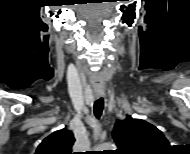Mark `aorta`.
I'll use <instances>...</instances> for the list:
<instances>
[{
    "instance_id": "762f6f07",
    "label": "aorta",
    "mask_w": 190,
    "mask_h": 154,
    "mask_svg": "<svg viewBox=\"0 0 190 154\" xmlns=\"http://www.w3.org/2000/svg\"><path fill=\"white\" fill-rule=\"evenodd\" d=\"M113 144L112 143H103L99 146V149L103 150H111L113 148Z\"/></svg>"
}]
</instances>
